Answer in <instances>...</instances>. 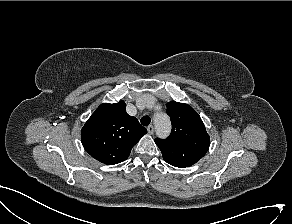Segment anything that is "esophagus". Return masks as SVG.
Returning <instances> with one entry per match:
<instances>
[{
  "instance_id": "34e87169",
  "label": "esophagus",
  "mask_w": 292,
  "mask_h": 224,
  "mask_svg": "<svg viewBox=\"0 0 292 224\" xmlns=\"http://www.w3.org/2000/svg\"><path fill=\"white\" fill-rule=\"evenodd\" d=\"M147 131L150 135H152L154 133V127L152 125L148 126Z\"/></svg>"
}]
</instances>
